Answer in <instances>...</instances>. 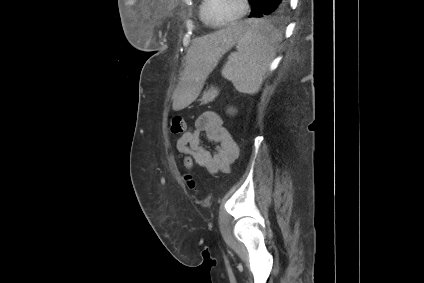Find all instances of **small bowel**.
<instances>
[{
  "label": "small bowel",
  "instance_id": "obj_1",
  "mask_svg": "<svg viewBox=\"0 0 424 283\" xmlns=\"http://www.w3.org/2000/svg\"><path fill=\"white\" fill-rule=\"evenodd\" d=\"M203 136L216 144L214 151L204 145ZM176 149L185 158H189L193 165L205 168L210 174L228 172L239 154V148L224 127L222 118L211 110L203 112L195 120L193 128L186 130L177 139Z\"/></svg>",
  "mask_w": 424,
  "mask_h": 283
}]
</instances>
